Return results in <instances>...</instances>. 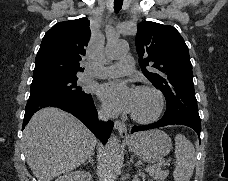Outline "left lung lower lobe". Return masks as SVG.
I'll return each mask as SVG.
<instances>
[{
    "label": "left lung lower lobe",
    "mask_w": 228,
    "mask_h": 181,
    "mask_svg": "<svg viewBox=\"0 0 228 181\" xmlns=\"http://www.w3.org/2000/svg\"><path fill=\"white\" fill-rule=\"evenodd\" d=\"M173 124L188 126V127L192 128L193 130H195V132L200 137L201 125L186 124V123H168V122H163L161 120H159L158 122L149 124V125L134 126L132 128L131 132L134 133V132H138V131H144V130L154 129V128H158V127H163L166 125H173Z\"/></svg>",
    "instance_id": "left-lung-lower-lobe-1"
}]
</instances>
